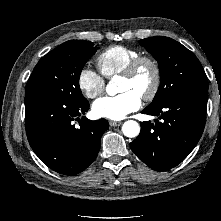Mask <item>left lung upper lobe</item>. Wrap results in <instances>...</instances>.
<instances>
[{
  "instance_id": "left-lung-upper-lobe-1",
  "label": "left lung upper lobe",
  "mask_w": 221,
  "mask_h": 221,
  "mask_svg": "<svg viewBox=\"0 0 221 221\" xmlns=\"http://www.w3.org/2000/svg\"><path fill=\"white\" fill-rule=\"evenodd\" d=\"M140 45L158 61L161 81L148 107H156L190 90L208 91L207 76L197 57L179 42L163 36L140 40Z\"/></svg>"
}]
</instances>
